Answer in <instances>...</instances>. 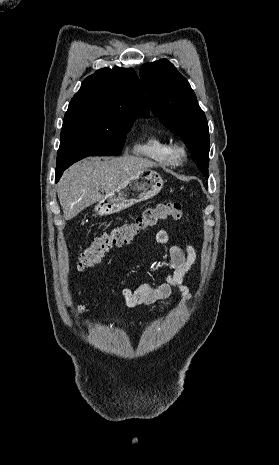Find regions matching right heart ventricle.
I'll return each mask as SVG.
<instances>
[{"instance_id":"right-heart-ventricle-1","label":"right heart ventricle","mask_w":279,"mask_h":465,"mask_svg":"<svg viewBox=\"0 0 279 465\" xmlns=\"http://www.w3.org/2000/svg\"><path fill=\"white\" fill-rule=\"evenodd\" d=\"M134 152L149 157L162 165L174 163L170 154V143L157 131H151L148 136L134 146Z\"/></svg>"}]
</instances>
